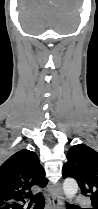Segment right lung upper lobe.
Segmentation results:
<instances>
[{"label": "right lung upper lobe", "instance_id": "right-lung-upper-lobe-1", "mask_svg": "<svg viewBox=\"0 0 98 209\" xmlns=\"http://www.w3.org/2000/svg\"><path fill=\"white\" fill-rule=\"evenodd\" d=\"M48 180L35 152L20 150L0 166V209H23L33 186L45 187Z\"/></svg>", "mask_w": 98, "mask_h": 209}]
</instances>
